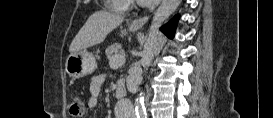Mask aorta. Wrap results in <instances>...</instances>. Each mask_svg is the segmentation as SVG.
I'll list each match as a JSON object with an SVG mask.
<instances>
[{
    "label": "aorta",
    "instance_id": "obj_1",
    "mask_svg": "<svg viewBox=\"0 0 273 118\" xmlns=\"http://www.w3.org/2000/svg\"><path fill=\"white\" fill-rule=\"evenodd\" d=\"M180 2L181 0H163L160 7L156 11L149 29V34L143 46L141 65L144 70L147 69L152 63L153 56L158 45L159 28L176 10ZM135 110L136 113L140 115L145 113L144 98L141 94L137 98Z\"/></svg>",
    "mask_w": 273,
    "mask_h": 118
}]
</instances>
